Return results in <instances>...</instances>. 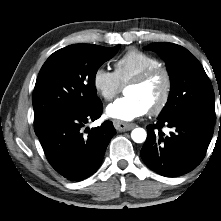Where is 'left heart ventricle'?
<instances>
[{
    "mask_svg": "<svg viewBox=\"0 0 221 221\" xmlns=\"http://www.w3.org/2000/svg\"><path fill=\"white\" fill-rule=\"evenodd\" d=\"M164 87V79L162 75H157L143 85L128 86L126 95L140 99L148 109L154 106L162 93Z\"/></svg>",
    "mask_w": 221,
    "mask_h": 221,
    "instance_id": "b2bd125f",
    "label": "left heart ventricle"
}]
</instances>
